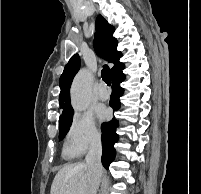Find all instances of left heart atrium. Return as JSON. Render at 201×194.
I'll list each match as a JSON object with an SVG mask.
<instances>
[{"label":"left heart atrium","instance_id":"1","mask_svg":"<svg viewBox=\"0 0 201 194\" xmlns=\"http://www.w3.org/2000/svg\"><path fill=\"white\" fill-rule=\"evenodd\" d=\"M97 114H98V117L100 118V119H106L107 117H108V111H107V109L106 108H100L99 110H98V112H97Z\"/></svg>","mask_w":201,"mask_h":194}]
</instances>
